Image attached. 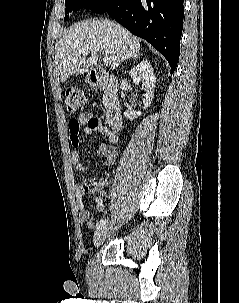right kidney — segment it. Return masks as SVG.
Returning <instances> with one entry per match:
<instances>
[{"mask_svg":"<svg viewBox=\"0 0 239 303\" xmlns=\"http://www.w3.org/2000/svg\"><path fill=\"white\" fill-rule=\"evenodd\" d=\"M130 76L135 83L142 82V87H144L146 90V94L143 99V104L144 109H147L151 105L154 97L156 78L153 68L147 60H143L139 64H137L133 69H131ZM141 114V112L128 110L124 112V116L130 120H134L135 118L141 116Z\"/></svg>","mask_w":239,"mask_h":303,"instance_id":"ca27d5eb","label":"right kidney"}]
</instances>
